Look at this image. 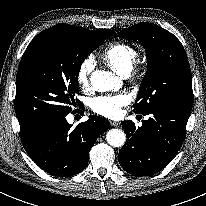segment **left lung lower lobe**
I'll return each instance as SVG.
<instances>
[{"mask_svg": "<svg viewBox=\"0 0 206 206\" xmlns=\"http://www.w3.org/2000/svg\"><path fill=\"white\" fill-rule=\"evenodd\" d=\"M191 109L173 106H155L143 115H149L136 128L131 120L123 121L127 140L120 149L121 167L135 176H148L162 170L181 148Z\"/></svg>", "mask_w": 206, "mask_h": 206, "instance_id": "0a47b994", "label": "left lung lower lobe"}]
</instances>
